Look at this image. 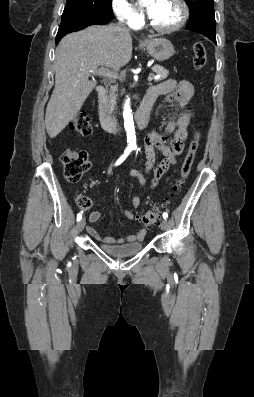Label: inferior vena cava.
I'll return each mask as SVG.
<instances>
[{
  "label": "inferior vena cava",
  "mask_w": 254,
  "mask_h": 397,
  "mask_svg": "<svg viewBox=\"0 0 254 397\" xmlns=\"http://www.w3.org/2000/svg\"><path fill=\"white\" fill-rule=\"evenodd\" d=\"M118 29L124 34H129V29L122 23H118Z\"/></svg>",
  "instance_id": "602c4592"
}]
</instances>
